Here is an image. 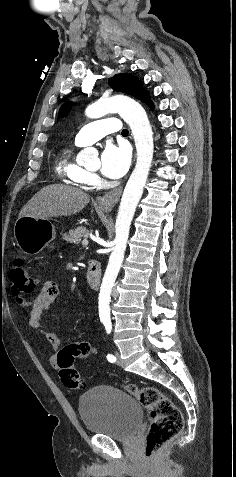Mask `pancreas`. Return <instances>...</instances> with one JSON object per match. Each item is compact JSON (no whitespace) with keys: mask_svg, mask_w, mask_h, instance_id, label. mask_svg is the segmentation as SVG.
<instances>
[{"mask_svg":"<svg viewBox=\"0 0 236 477\" xmlns=\"http://www.w3.org/2000/svg\"><path fill=\"white\" fill-rule=\"evenodd\" d=\"M87 236H88L87 228L84 226H80L64 234L63 239L70 243L79 244L82 238L83 237L86 238Z\"/></svg>","mask_w":236,"mask_h":477,"instance_id":"obj_1","label":"pancreas"}]
</instances>
